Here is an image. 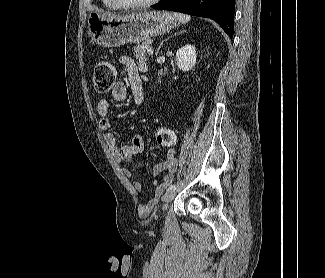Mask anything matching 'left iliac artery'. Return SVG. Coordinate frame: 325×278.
<instances>
[{
	"label": "left iliac artery",
	"mask_w": 325,
	"mask_h": 278,
	"mask_svg": "<svg viewBox=\"0 0 325 278\" xmlns=\"http://www.w3.org/2000/svg\"><path fill=\"white\" fill-rule=\"evenodd\" d=\"M177 189V185L173 184V185H170L168 190H176Z\"/></svg>",
	"instance_id": "1"
}]
</instances>
